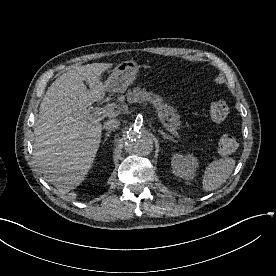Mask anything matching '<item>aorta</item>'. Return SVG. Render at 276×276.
Instances as JSON below:
<instances>
[{"mask_svg": "<svg viewBox=\"0 0 276 276\" xmlns=\"http://www.w3.org/2000/svg\"><path fill=\"white\" fill-rule=\"evenodd\" d=\"M125 149L130 154L146 156L153 150V138L147 132L130 128L126 132Z\"/></svg>", "mask_w": 276, "mask_h": 276, "instance_id": "1", "label": "aorta"}]
</instances>
